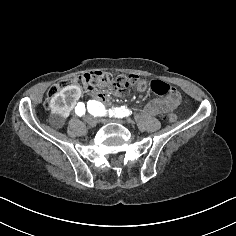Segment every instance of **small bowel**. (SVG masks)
<instances>
[{
    "label": "small bowel",
    "instance_id": "c3829d8e",
    "mask_svg": "<svg viewBox=\"0 0 236 236\" xmlns=\"http://www.w3.org/2000/svg\"><path fill=\"white\" fill-rule=\"evenodd\" d=\"M178 100L169 98L167 100H154L147 104L144 111L148 115H159L171 110L176 104Z\"/></svg>",
    "mask_w": 236,
    "mask_h": 236
}]
</instances>
